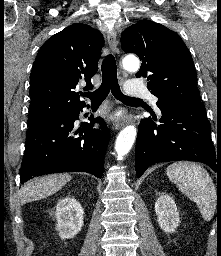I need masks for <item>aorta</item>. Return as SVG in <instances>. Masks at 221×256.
I'll use <instances>...</instances> for the list:
<instances>
[{
  "label": "aorta",
  "mask_w": 221,
  "mask_h": 256,
  "mask_svg": "<svg viewBox=\"0 0 221 256\" xmlns=\"http://www.w3.org/2000/svg\"><path fill=\"white\" fill-rule=\"evenodd\" d=\"M123 67L130 71H137L140 67L139 60L136 58H127L123 61ZM137 130L133 125L126 126L118 135L115 142V151L118 160H123L124 156L130 151L135 138Z\"/></svg>",
  "instance_id": "1"
}]
</instances>
